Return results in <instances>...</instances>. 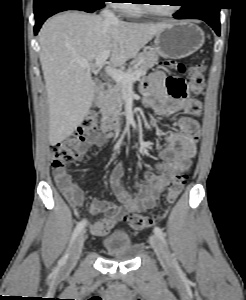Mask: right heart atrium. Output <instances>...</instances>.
Returning a JSON list of instances; mask_svg holds the SVG:
<instances>
[{
	"mask_svg": "<svg viewBox=\"0 0 246 300\" xmlns=\"http://www.w3.org/2000/svg\"><path fill=\"white\" fill-rule=\"evenodd\" d=\"M122 1H125V0H114V3H113L114 7H115V8L122 9V6L125 5V4H121V3H120V2H122Z\"/></svg>",
	"mask_w": 246,
	"mask_h": 300,
	"instance_id": "obj_1",
	"label": "right heart atrium"
}]
</instances>
